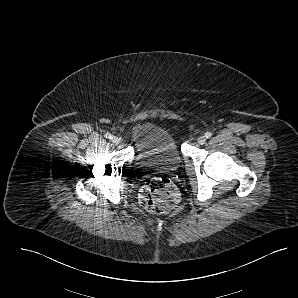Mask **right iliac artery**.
Here are the masks:
<instances>
[{"label":"right iliac artery","mask_w":298,"mask_h":298,"mask_svg":"<svg viewBox=\"0 0 298 298\" xmlns=\"http://www.w3.org/2000/svg\"><path fill=\"white\" fill-rule=\"evenodd\" d=\"M105 137H106L107 139H111L112 135H111L110 133H106V134H105Z\"/></svg>","instance_id":"1"}]
</instances>
